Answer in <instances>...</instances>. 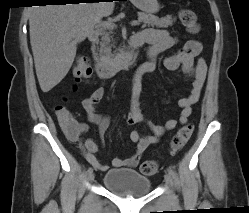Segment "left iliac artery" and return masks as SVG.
I'll use <instances>...</instances> for the list:
<instances>
[{"label": "left iliac artery", "mask_w": 249, "mask_h": 213, "mask_svg": "<svg viewBox=\"0 0 249 213\" xmlns=\"http://www.w3.org/2000/svg\"><path fill=\"white\" fill-rule=\"evenodd\" d=\"M167 171H168V173H169L171 176H174V175H175V172H174V170H173L171 167H169V168L167 169Z\"/></svg>", "instance_id": "obj_1"}]
</instances>
